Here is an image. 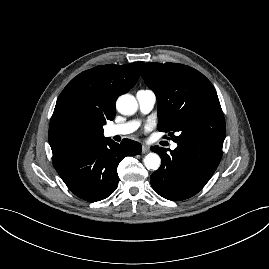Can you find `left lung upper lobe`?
Listing matches in <instances>:
<instances>
[{"instance_id":"1","label":"left lung upper lobe","mask_w":269,"mask_h":269,"mask_svg":"<svg viewBox=\"0 0 269 269\" xmlns=\"http://www.w3.org/2000/svg\"><path fill=\"white\" fill-rule=\"evenodd\" d=\"M158 104V130L173 141H224L226 126L217 93L199 71L183 64L146 63L141 71Z\"/></svg>"}]
</instances>
